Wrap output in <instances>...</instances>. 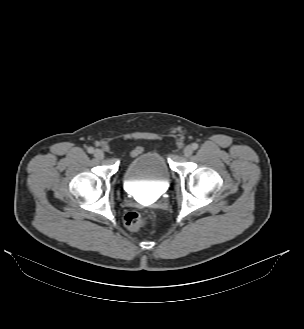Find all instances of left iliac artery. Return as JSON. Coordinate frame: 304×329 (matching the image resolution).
Wrapping results in <instances>:
<instances>
[{"label":"left iliac artery","mask_w":304,"mask_h":329,"mask_svg":"<svg viewBox=\"0 0 304 329\" xmlns=\"http://www.w3.org/2000/svg\"><path fill=\"white\" fill-rule=\"evenodd\" d=\"M192 148H193L194 150H196V149L198 148V144H197V143H193V144H192Z\"/></svg>","instance_id":"left-iliac-artery-1"}]
</instances>
